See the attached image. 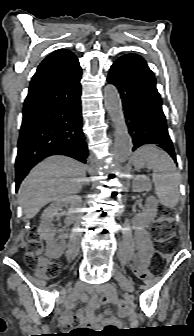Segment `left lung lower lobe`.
Returning a JSON list of instances; mask_svg holds the SVG:
<instances>
[{
    "mask_svg": "<svg viewBox=\"0 0 194 336\" xmlns=\"http://www.w3.org/2000/svg\"><path fill=\"white\" fill-rule=\"evenodd\" d=\"M107 81L118 88L122 98L133 151L144 144H155L176 162L156 80L145 60L137 54L121 56L111 66Z\"/></svg>",
    "mask_w": 194,
    "mask_h": 336,
    "instance_id": "obj_1",
    "label": "left lung lower lobe"
}]
</instances>
